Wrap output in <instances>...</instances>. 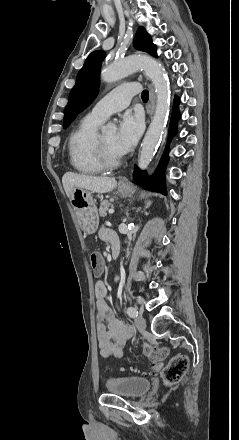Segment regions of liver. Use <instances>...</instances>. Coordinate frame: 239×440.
Instances as JSON below:
<instances>
[{
	"mask_svg": "<svg viewBox=\"0 0 239 440\" xmlns=\"http://www.w3.org/2000/svg\"><path fill=\"white\" fill-rule=\"evenodd\" d=\"M62 184L68 198H71L72 192L77 190V188L91 190V192H96V194H107V192H112L117 186L115 178L85 176V174H73V172H66L64 174Z\"/></svg>",
	"mask_w": 239,
	"mask_h": 440,
	"instance_id": "liver-1",
	"label": "liver"
}]
</instances>
